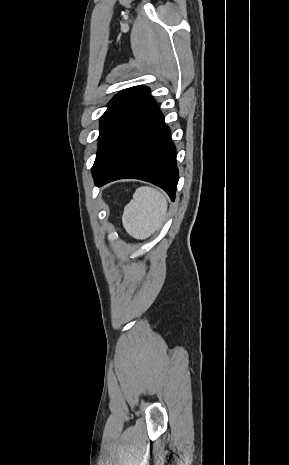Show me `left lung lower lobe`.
<instances>
[{
    "label": "left lung lower lobe",
    "mask_w": 289,
    "mask_h": 465,
    "mask_svg": "<svg viewBox=\"0 0 289 465\" xmlns=\"http://www.w3.org/2000/svg\"><path fill=\"white\" fill-rule=\"evenodd\" d=\"M92 172L97 186L117 179L135 178L161 187L174 201L178 183L175 146L154 100Z\"/></svg>",
    "instance_id": "obj_1"
}]
</instances>
